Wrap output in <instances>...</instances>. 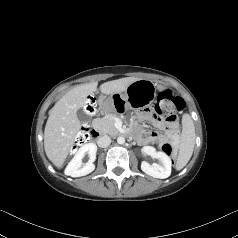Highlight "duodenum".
Returning <instances> with one entry per match:
<instances>
[{"mask_svg":"<svg viewBox=\"0 0 238 238\" xmlns=\"http://www.w3.org/2000/svg\"><path fill=\"white\" fill-rule=\"evenodd\" d=\"M90 135H91L92 137L97 138V137H99L100 133H99V131H98L96 128H91V129H90Z\"/></svg>","mask_w":238,"mask_h":238,"instance_id":"410a0bca","label":"duodenum"}]
</instances>
